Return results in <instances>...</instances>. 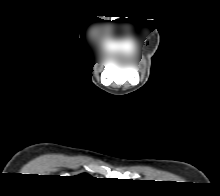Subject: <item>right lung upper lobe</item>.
<instances>
[{"mask_svg": "<svg viewBox=\"0 0 220 196\" xmlns=\"http://www.w3.org/2000/svg\"><path fill=\"white\" fill-rule=\"evenodd\" d=\"M77 177H89V175L88 174H82V175H79Z\"/></svg>", "mask_w": 220, "mask_h": 196, "instance_id": "1", "label": "right lung upper lobe"}]
</instances>
